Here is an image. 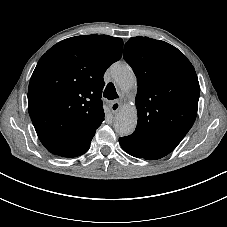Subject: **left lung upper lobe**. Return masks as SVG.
<instances>
[{
    "instance_id": "1",
    "label": "left lung upper lobe",
    "mask_w": 227,
    "mask_h": 227,
    "mask_svg": "<svg viewBox=\"0 0 227 227\" xmlns=\"http://www.w3.org/2000/svg\"><path fill=\"white\" fill-rule=\"evenodd\" d=\"M124 59L138 83V122L129 136L169 154L196 119L200 91L195 69L174 46L142 36L125 44Z\"/></svg>"
}]
</instances>
